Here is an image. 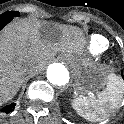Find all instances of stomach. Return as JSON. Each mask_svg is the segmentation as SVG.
I'll return each instance as SVG.
<instances>
[{
  "mask_svg": "<svg viewBox=\"0 0 124 124\" xmlns=\"http://www.w3.org/2000/svg\"><path fill=\"white\" fill-rule=\"evenodd\" d=\"M114 75L108 71L100 70L90 72H80L76 83V91L81 94H99L105 85L112 83Z\"/></svg>",
  "mask_w": 124,
  "mask_h": 124,
  "instance_id": "0dacf381",
  "label": "stomach"
}]
</instances>
